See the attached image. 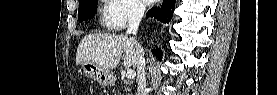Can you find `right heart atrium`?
<instances>
[{"label":"right heart atrium","instance_id":"right-heart-atrium-1","mask_svg":"<svg viewBox=\"0 0 277 95\" xmlns=\"http://www.w3.org/2000/svg\"><path fill=\"white\" fill-rule=\"evenodd\" d=\"M116 9L108 14V27L112 30H122L126 25L139 18L143 7L138 0H111Z\"/></svg>","mask_w":277,"mask_h":95}]
</instances>
